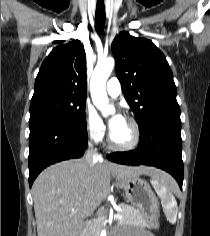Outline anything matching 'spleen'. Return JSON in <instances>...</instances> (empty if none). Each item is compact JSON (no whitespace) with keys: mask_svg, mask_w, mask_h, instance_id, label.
I'll use <instances>...</instances> for the list:
<instances>
[{"mask_svg":"<svg viewBox=\"0 0 210 236\" xmlns=\"http://www.w3.org/2000/svg\"><path fill=\"white\" fill-rule=\"evenodd\" d=\"M151 184L161 199V204L168 221L174 224L178 212L176 199L171 192L174 182L163 178H153Z\"/></svg>","mask_w":210,"mask_h":236,"instance_id":"spleen-1","label":"spleen"}]
</instances>
